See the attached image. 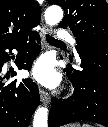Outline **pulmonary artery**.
Returning <instances> with one entry per match:
<instances>
[{"label": "pulmonary artery", "instance_id": "e3ab8cb5", "mask_svg": "<svg viewBox=\"0 0 108 127\" xmlns=\"http://www.w3.org/2000/svg\"><path fill=\"white\" fill-rule=\"evenodd\" d=\"M60 39L68 41L72 46L75 45V39L66 31H60L58 34Z\"/></svg>", "mask_w": 108, "mask_h": 127}]
</instances>
